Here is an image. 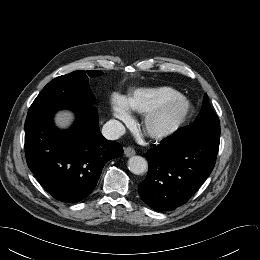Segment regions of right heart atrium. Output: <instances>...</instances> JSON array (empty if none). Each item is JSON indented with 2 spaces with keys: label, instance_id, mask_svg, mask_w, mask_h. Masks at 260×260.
I'll return each mask as SVG.
<instances>
[{
  "label": "right heart atrium",
  "instance_id": "right-heart-atrium-1",
  "mask_svg": "<svg viewBox=\"0 0 260 260\" xmlns=\"http://www.w3.org/2000/svg\"><path fill=\"white\" fill-rule=\"evenodd\" d=\"M112 114L117 122L127 124L131 121V114L125 99L114 96L112 99Z\"/></svg>",
  "mask_w": 260,
  "mask_h": 260
}]
</instances>
